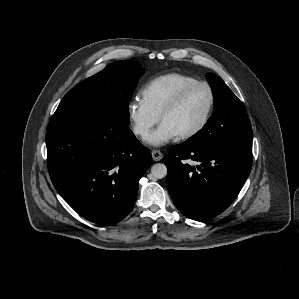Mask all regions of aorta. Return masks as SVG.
I'll list each match as a JSON object with an SVG mask.
<instances>
[{
    "mask_svg": "<svg viewBox=\"0 0 299 299\" xmlns=\"http://www.w3.org/2000/svg\"><path fill=\"white\" fill-rule=\"evenodd\" d=\"M151 174L156 179H162L167 175V167L162 163L154 164L151 167Z\"/></svg>",
    "mask_w": 299,
    "mask_h": 299,
    "instance_id": "obj_1",
    "label": "aorta"
}]
</instances>
